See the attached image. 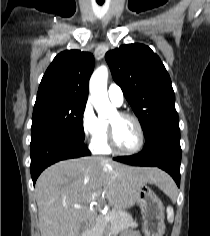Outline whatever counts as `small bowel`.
Instances as JSON below:
<instances>
[{
    "instance_id": "small-bowel-1",
    "label": "small bowel",
    "mask_w": 210,
    "mask_h": 236,
    "mask_svg": "<svg viewBox=\"0 0 210 236\" xmlns=\"http://www.w3.org/2000/svg\"><path fill=\"white\" fill-rule=\"evenodd\" d=\"M123 236H135L134 234H131V233H128V234H125Z\"/></svg>"
}]
</instances>
